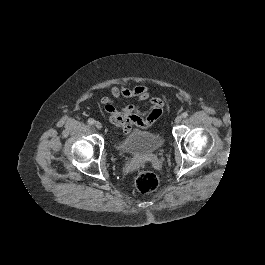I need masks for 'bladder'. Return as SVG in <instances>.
I'll return each mask as SVG.
<instances>
[{"label": "bladder", "instance_id": "31cf9c89", "mask_svg": "<svg viewBox=\"0 0 265 265\" xmlns=\"http://www.w3.org/2000/svg\"><path fill=\"white\" fill-rule=\"evenodd\" d=\"M163 134L134 130L129 136L115 141L117 150L131 155L153 154L163 148Z\"/></svg>", "mask_w": 265, "mask_h": 265}]
</instances>
